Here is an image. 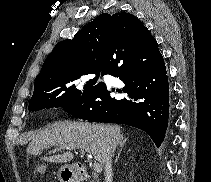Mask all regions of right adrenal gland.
<instances>
[{"instance_id":"obj_1","label":"right adrenal gland","mask_w":211,"mask_h":182,"mask_svg":"<svg viewBox=\"0 0 211 182\" xmlns=\"http://www.w3.org/2000/svg\"><path fill=\"white\" fill-rule=\"evenodd\" d=\"M126 141H127V138L120 142V149H119V151H118V156H117L116 159H115V163L117 162V160H118V158H119V156H120V154H121V151H122V149H123V147H124Z\"/></svg>"}]
</instances>
